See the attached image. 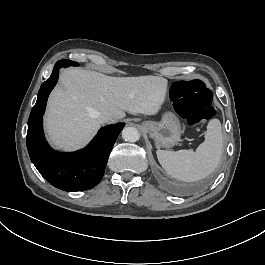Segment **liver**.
Instances as JSON below:
<instances>
[{
	"instance_id": "6515ba94",
	"label": "liver",
	"mask_w": 265,
	"mask_h": 265,
	"mask_svg": "<svg viewBox=\"0 0 265 265\" xmlns=\"http://www.w3.org/2000/svg\"><path fill=\"white\" fill-rule=\"evenodd\" d=\"M60 81L50 97L46 123L52 141L67 149L88 141L102 113L115 119L125 112L154 116L169 92L161 77L111 78L79 68L64 70Z\"/></svg>"
}]
</instances>
